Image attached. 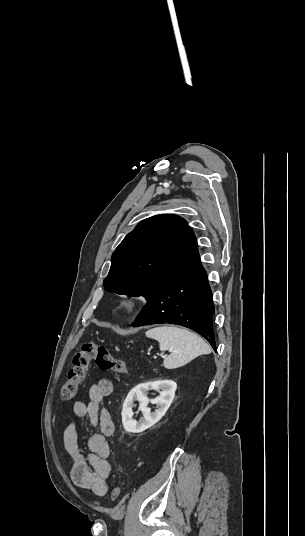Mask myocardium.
<instances>
[{
  "instance_id": "obj_1",
  "label": "myocardium",
  "mask_w": 305,
  "mask_h": 536,
  "mask_svg": "<svg viewBox=\"0 0 305 536\" xmlns=\"http://www.w3.org/2000/svg\"><path fill=\"white\" fill-rule=\"evenodd\" d=\"M144 307V300L138 294L122 295L118 301L117 309L125 317L137 315Z\"/></svg>"
}]
</instances>
